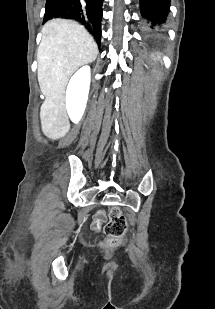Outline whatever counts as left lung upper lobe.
<instances>
[{"label":"left lung upper lobe","instance_id":"1","mask_svg":"<svg viewBox=\"0 0 215 309\" xmlns=\"http://www.w3.org/2000/svg\"><path fill=\"white\" fill-rule=\"evenodd\" d=\"M169 6L170 0H140L141 15L152 30L166 22Z\"/></svg>","mask_w":215,"mask_h":309}]
</instances>
